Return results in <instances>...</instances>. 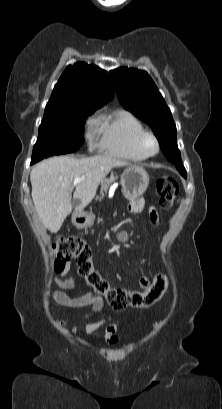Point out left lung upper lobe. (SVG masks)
<instances>
[{
  "label": "left lung upper lobe",
  "instance_id": "obj_1",
  "mask_svg": "<svg viewBox=\"0 0 222 409\" xmlns=\"http://www.w3.org/2000/svg\"><path fill=\"white\" fill-rule=\"evenodd\" d=\"M121 104L152 128L166 158L176 164L183 177L186 170L181 162L176 141V125L170 109L147 72L120 67L110 71Z\"/></svg>",
  "mask_w": 222,
  "mask_h": 409
}]
</instances>
